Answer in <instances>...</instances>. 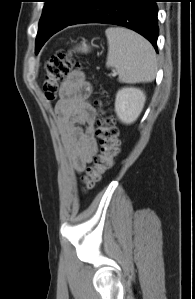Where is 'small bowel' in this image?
<instances>
[{"label":"small bowel","instance_id":"obj_1","mask_svg":"<svg viewBox=\"0 0 195 299\" xmlns=\"http://www.w3.org/2000/svg\"><path fill=\"white\" fill-rule=\"evenodd\" d=\"M89 94L84 73L74 70L65 78L57 104L64 152L77 172H83L99 151L95 136L97 110Z\"/></svg>","mask_w":195,"mask_h":299}]
</instances>
